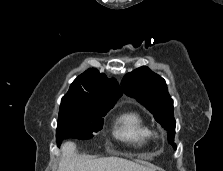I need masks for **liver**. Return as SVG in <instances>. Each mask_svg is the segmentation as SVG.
<instances>
[{
  "label": "liver",
  "instance_id": "1",
  "mask_svg": "<svg viewBox=\"0 0 223 171\" xmlns=\"http://www.w3.org/2000/svg\"><path fill=\"white\" fill-rule=\"evenodd\" d=\"M62 156L56 171H156L155 167L142 166L118 157L88 159L76 153L73 142L61 145Z\"/></svg>",
  "mask_w": 223,
  "mask_h": 171
}]
</instances>
